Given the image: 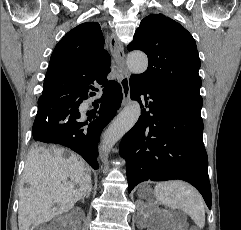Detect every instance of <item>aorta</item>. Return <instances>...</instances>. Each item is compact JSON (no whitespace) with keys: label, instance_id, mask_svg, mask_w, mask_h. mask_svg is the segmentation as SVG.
I'll use <instances>...</instances> for the list:
<instances>
[{"label":"aorta","instance_id":"762f6f07","mask_svg":"<svg viewBox=\"0 0 241 230\" xmlns=\"http://www.w3.org/2000/svg\"><path fill=\"white\" fill-rule=\"evenodd\" d=\"M128 69L134 74H142L147 70L148 58L144 53L132 52L127 56ZM141 114L138 102L125 107L104 134L101 144V158L106 160L108 153L138 121Z\"/></svg>","mask_w":241,"mask_h":230}]
</instances>
